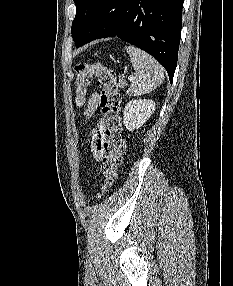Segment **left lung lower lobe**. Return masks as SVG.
Listing matches in <instances>:
<instances>
[{"label":"left lung lower lobe","mask_w":233,"mask_h":286,"mask_svg":"<svg viewBox=\"0 0 233 286\" xmlns=\"http://www.w3.org/2000/svg\"><path fill=\"white\" fill-rule=\"evenodd\" d=\"M184 0H101L75 46L115 37L154 56L173 81Z\"/></svg>","instance_id":"left-lung-lower-lobe-1"}]
</instances>
